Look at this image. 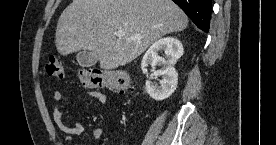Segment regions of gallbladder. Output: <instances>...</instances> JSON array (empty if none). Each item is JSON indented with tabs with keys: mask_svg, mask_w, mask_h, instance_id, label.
<instances>
[{
	"mask_svg": "<svg viewBox=\"0 0 276 145\" xmlns=\"http://www.w3.org/2000/svg\"><path fill=\"white\" fill-rule=\"evenodd\" d=\"M98 61V55L91 51H80L77 54V62L81 67H92Z\"/></svg>",
	"mask_w": 276,
	"mask_h": 145,
	"instance_id": "1",
	"label": "gallbladder"
}]
</instances>
